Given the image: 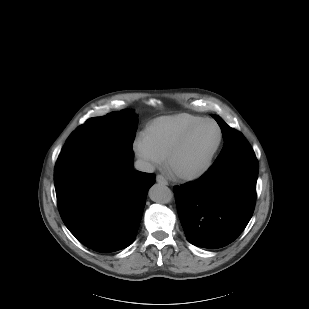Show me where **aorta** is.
Wrapping results in <instances>:
<instances>
[{
    "label": "aorta",
    "mask_w": 309,
    "mask_h": 309,
    "mask_svg": "<svg viewBox=\"0 0 309 309\" xmlns=\"http://www.w3.org/2000/svg\"><path fill=\"white\" fill-rule=\"evenodd\" d=\"M149 197L156 203L168 204L173 200V193L164 184H154L149 189Z\"/></svg>",
    "instance_id": "762f6f07"
}]
</instances>
